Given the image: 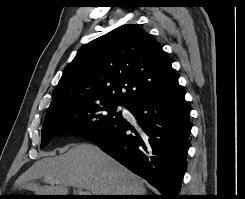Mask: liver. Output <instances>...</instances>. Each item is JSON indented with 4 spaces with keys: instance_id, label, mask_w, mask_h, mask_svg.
Returning <instances> with one entry per match:
<instances>
[{
    "instance_id": "obj_1",
    "label": "liver",
    "mask_w": 245,
    "mask_h": 199,
    "mask_svg": "<svg viewBox=\"0 0 245 199\" xmlns=\"http://www.w3.org/2000/svg\"><path fill=\"white\" fill-rule=\"evenodd\" d=\"M42 178L47 186L35 180ZM84 188L92 195H144L141 178L130 172L97 146L75 144L65 154L35 162L14 187L36 195H67L68 187Z\"/></svg>"
}]
</instances>
